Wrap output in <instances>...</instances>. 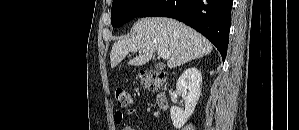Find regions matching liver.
I'll return each instance as SVG.
<instances>
[{
	"mask_svg": "<svg viewBox=\"0 0 299 130\" xmlns=\"http://www.w3.org/2000/svg\"><path fill=\"white\" fill-rule=\"evenodd\" d=\"M163 48L171 53L167 61L169 68L206 56L213 50L204 36L182 22L162 17L142 18L133 25L130 36L113 44L111 68H115L130 52L137 51L139 56L129 65H144L156 50Z\"/></svg>",
	"mask_w": 299,
	"mask_h": 130,
	"instance_id": "6515ba94",
	"label": "liver"
}]
</instances>
